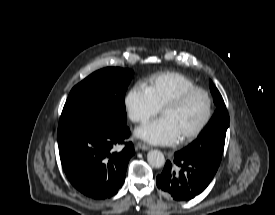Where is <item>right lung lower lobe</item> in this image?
<instances>
[{
	"label": "right lung lower lobe",
	"mask_w": 275,
	"mask_h": 215,
	"mask_svg": "<svg viewBox=\"0 0 275 215\" xmlns=\"http://www.w3.org/2000/svg\"><path fill=\"white\" fill-rule=\"evenodd\" d=\"M126 125L105 128H71L58 131L63 170L71 184L94 199L110 198L125 181L129 159L134 155ZM125 144L120 152L113 147Z\"/></svg>",
	"instance_id": "obj_1"
}]
</instances>
